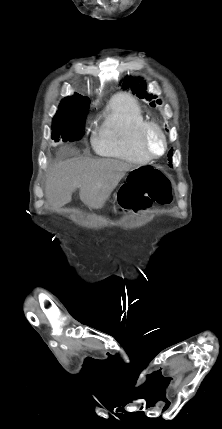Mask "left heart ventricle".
<instances>
[{
    "label": "left heart ventricle",
    "mask_w": 222,
    "mask_h": 429,
    "mask_svg": "<svg viewBox=\"0 0 222 429\" xmlns=\"http://www.w3.org/2000/svg\"><path fill=\"white\" fill-rule=\"evenodd\" d=\"M148 146L150 150L155 154H161L164 148L162 138L160 135L152 131L148 136Z\"/></svg>",
    "instance_id": "obj_1"
}]
</instances>
